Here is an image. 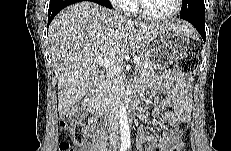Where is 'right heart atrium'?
<instances>
[{
	"label": "right heart atrium",
	"mask_w": 231,
	"mask_h": 151,
	"mask_svg": "<svg viewBox=\"0 0 231 151\" xmlns=\"http://www.w3.org/2000/svg\"><path fill=\"white\" fill-rule=\"evenodd\" d=\"M111 2L119 11L129 12L131 9L130 2L128 0H113Z\"/></svg>",
	"instance_id": "right-heart-atrium-1"
}]
</instances>
